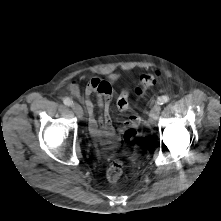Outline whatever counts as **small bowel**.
I'll return each instance as SVG.
<instances>
[{
	"mask_svg": "<svg viewBox=\"0 0 221 221\" xmlns=\"http://www.w3.org/2000/svg\"><path fill=\"white\" fill-rule=\"evenodd\" d=\"M69 90L74 96L83 99L88 115L90 133L101 145L116 147L120 140V133L136 127L139 122L136 115H130L118 130L113 127L110 118L112 88L106 81L98 78L91 79L84 89V97L75 82L69 85ZM94 95L97 97V105L100 108L99 117L96 115L95 104L92 100ZM118 108L121 111H127L128 105L122 106L118 102Z\"/></svg>",
	"mask_w": 221,
	"mask_h": 221,
	"instance_id": "obj_1",
	"label": "small bowel"
}]
</instances>
